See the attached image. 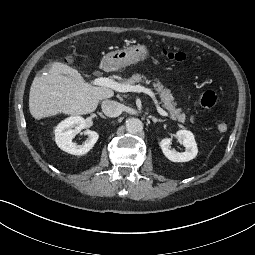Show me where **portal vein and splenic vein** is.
I'll list each match as a JSON object with an SVG mask.
<instances>
[{
	"label": "portal vein and splenic vein",
	"mask_w": 255,
	"mask_h": 255,
	"mask_svg": "<svg viewBox=\"0 0 255 255\" xmlns=\"http://www.w3.org/2000/svg\"><path fill=\"white\" fill-rule=\"evenodd\" d=\"M93 85L107 87V88L113 89L117 92H123V93L131 92V91L146 93L152 98V100L157 108L158 113L162 116H168V113L160 107L158 100L156 99L154 93L148 88H145V87L139 86V85L128 86V85L118 83L116 81H113V80H111L109 78H105V77H100V78L95 79L93 81Z\"/></svg>",
	"instance_id": "obj_1"
}]
</instances>
